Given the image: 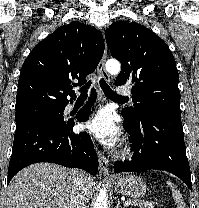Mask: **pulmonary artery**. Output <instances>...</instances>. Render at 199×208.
I'll use <instances>...</instances> for the list:
<instances>
[{
    "label": "pulmonary artery",
    "mask_w": 199,
    "mask_h": 208,
    "mask_svg": "<svg viewBox=\"0 0 199 208\" xmlns=\"http://www.w3.org/2000/svg\"><path fill=\"white\" fill-rule=\"evenodd\" d=\"M116 94L120 97L127 98V96L131 95V90L129 88H118Z\"/></svg>",
    "instance_id": "obj_1"
}]
</instances>
